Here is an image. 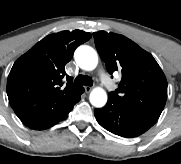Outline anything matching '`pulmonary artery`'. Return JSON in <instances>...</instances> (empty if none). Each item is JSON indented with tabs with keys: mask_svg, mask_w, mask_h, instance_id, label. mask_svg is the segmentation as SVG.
I'll list each match as a JSON object with an SVG mask.
<instances>
[{
	"mask_svg": "<svg viewBox=\"0 0 181 164\" xmlns=\"http://www.w3.org/2000/svg\"><path fill=\"white\" fill-rule=\"evenodd\" d=\"M100 76H101L102 78H104V77H105L104 72H100Z\"/></svg>",
	"mask_w": 181,
	"mask_h": 164,
	"instance_id": "pulmonary-artery-1",
	"label": "pulmonary artery"
}]
</instances>
